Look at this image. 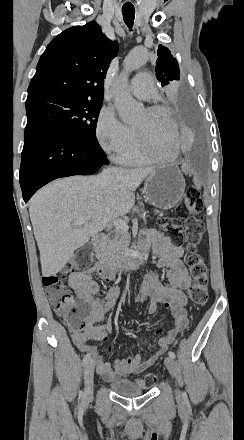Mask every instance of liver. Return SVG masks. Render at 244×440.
Returning <instances> with one entry per match:
<instances>
[{"label": "liver", "instance_id": "obj_1", "mask_svg": "<svg viewBox=\"0 0 244 440\" xmlns=\"http://www.w3.org/2000/svg\"><path fill=\"white\" fill-rule=\"evenodd\" d=\"M155 168H108L98 176H71L51 182L30 200L29 214L40 252L42 276H56L74 254L105 228L110 218L126 216L135 190ZM79 216H90L82 226Z\"/></svg>", "mask_w": 244, "mask_h": 440}]
</instances>
